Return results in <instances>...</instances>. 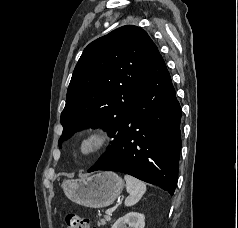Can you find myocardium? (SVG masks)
Listing matches in <instances>:
<instances>
[{
	"label": "myocardium",
	"instance_id": "obj_1",
	"mask_svg": "<svg viewBox=\"0 0 238 228\" xmlns=\"http://www.w3.org/2000/svg\"><path fill=\"white\" fill-rule=\"evenodd\" d=\"M109 142V132L101 126H94L78 139L76 152L80 157L89 158L104 150Z\"/></svg>",
	"mask_w": 238,
	"mask_h": 228
}]
</instances>
